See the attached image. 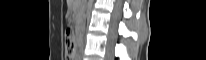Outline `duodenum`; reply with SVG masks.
<instances>
[{"instance_id":"obj_1","label":"duodenum","mask_w":206,"mask_h":60,"mask_svg":"<svg viewBox=\"0 0 206 60\" xmlns=\"http://www.w3.org/2000/svg\"><path fill=\"white\" fill-rule=\"evenodd\" d=\"M76 33H77V37H84V32L81 26H79V28L76 30Z\"/></svg>"}]
</instances>
